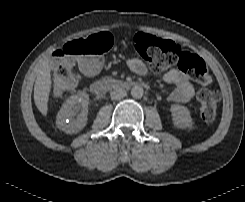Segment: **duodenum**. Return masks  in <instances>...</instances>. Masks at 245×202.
I'll list each match as a JSON object with an SVG mask.
<instances>
[{
	"instance_id": "410a0bca",
	"label": "duodenum",
	"mask_w": 245,
	"mask_h": 202,
	"mask_svg": "<svg viewBox=\"0 0 245 202\" xmlns=\"http://www.w3.org/2000/svg\"><path fill=\"white\" fill-rule=\"evenodd\" d=\"M146 87L145 84L138 83L134 80L131 81H118V80H113L110 78H104L102 80L94 82L91 86L90 89L92 93L101 95L106 91L110 90H128L132 89L135 87Z\"/></svg>"
}]
</instances>
